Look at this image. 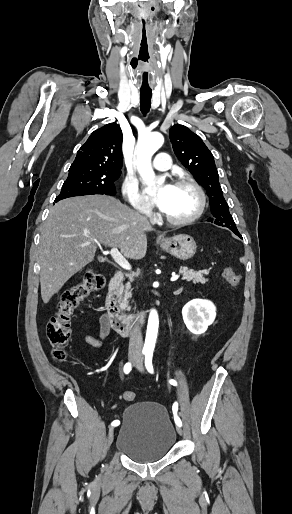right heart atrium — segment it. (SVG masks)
<instances>
[{"mask_svg": "<svg viewBox=\"0 0 292 514\" xmlns=\"http://www.w3.org/2000/svg\"><path fill=\"white\" fill-rule=\"evenodd\" d=\"M123 197L134 209H143V214L148 211L149 203L140 190L139 182L132 174L127 173L121 185Z\"/></svg>", "mask_w": 292, "mask_h": 514, "instance_id": "right-heart-atrium-1", "label": "right heart atrium"}]
</instances>
